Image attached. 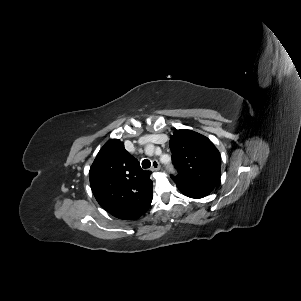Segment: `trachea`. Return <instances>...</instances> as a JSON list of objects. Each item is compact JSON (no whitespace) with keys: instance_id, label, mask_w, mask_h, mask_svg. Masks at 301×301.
Masks as SVG:
<instances>
[{"instance_id":"obj_1","label":"trachea","mask_w":301,"mask_h":301,"mask_svg":"<svg viewBox=\"0 0 301 301\" xmlns=\"http://www.w3.org/2000/svg\"><path fill=\"white\" fill-rule=\"evenodd\" d=\"M150 166H151V162L148 159L142 161V167L144 169L150 168Z\"/></svg>"}]
</instances>
